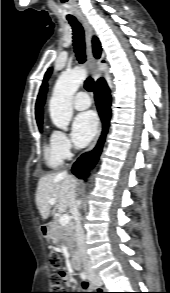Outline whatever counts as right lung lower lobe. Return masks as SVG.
I'll return each instance as SVG.
<instances>
[{
    "mask_svg": "<svg viewBox=\"0 0 170 293\" xmlns=\"http://www.w3.org/2000/svg\"><path fill=\"white\" fill-rule=\"evenodd\" d=\"M96 87L95 100L99 115L103 121V132L95 149L89 153L83 154L73 165L72 172L80 179L88 175V170L91 169L98 160L111 116V96L106 82L103 79H99L96 83Z\"/></svg>",
    "mask_w": 170,
    "mask_h": 293,
    "instance_id": "1",
    "label": "right lung lower lobe"
}]
</instances>
